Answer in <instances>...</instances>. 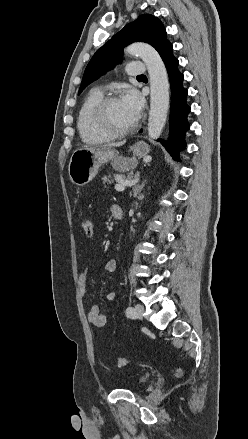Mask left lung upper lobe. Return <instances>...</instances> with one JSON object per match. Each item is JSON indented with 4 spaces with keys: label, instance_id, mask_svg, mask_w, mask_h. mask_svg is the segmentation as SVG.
I'll list each match as a JSON object with an SVG mask.
<instances>
[{
    "label": "left lung upper lobe",
    "instance_id": "5c2ea615",
    "mask_svg": "<svg viewBox=\"0 0 248 439\" xmlns=\"http://www.w3.org/2000/svg\"><path fill=\"white\" fill-rule=\"evenodd\" d=\"M133 42H146L159 54L170 44L166 39V30L161 21L152 15H141L96 51L85 69L78 94L91 82L114 68L121 60L123 48Z\"/></svg>",
    "mask_w": 248,
    "mask_h": 439
}]
</instances>
